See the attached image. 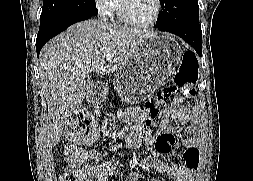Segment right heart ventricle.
<instances>
[{
  "label": "right heart ventricle",
  "instance_id": "right-heart-ventricle-1",
  "mask_svg": "<svg viewBox=\"0 0 253 181\" xmlns=\"http://www.w3.org/2000/svg\"><path fill=\"white\" fill-rule=\"evenodd\" d=\"M119 18L121 17V10H120V0L117 1L116 9H115V14Z\"/></svg>",
  "mask_w": 253,
  "mask_h": 181
}]
</instances>
